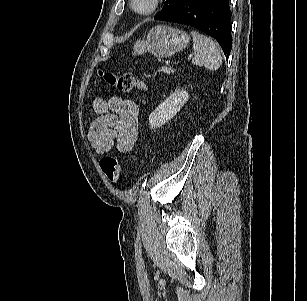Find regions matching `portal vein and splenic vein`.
<instances>
[{"instance_id": "1", "label": "portal vein and splenic vein", "mask_w": 307, "mask_h": 301, "mask_svg": "<svg viewBox=\"0 0 307 301\" xmlns=\"http://www.w3.org/2000/svg\"><path fill=\"white\" fill-rule=\"evenodd\" d=\"M163 72L168 74V73H170V70L164 69Z\"/></svg>"}]
</instances>
